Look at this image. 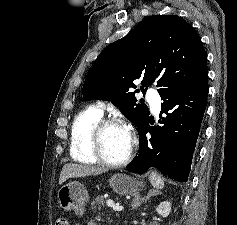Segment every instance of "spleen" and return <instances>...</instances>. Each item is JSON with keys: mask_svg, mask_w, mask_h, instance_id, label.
Instances as JSON below:
<instances>
[{"mask_svg": "<svg viewBox=\"0 0 237 225\" xmlns=\"http://www.w3.org/2000/svg\"><path fill=\"white\" fill-rule=\"evenodd\" d=\"M149 179H150L151 184H152L155 188L161 189V188L164 187V182H163L162 178H161L157 173L152 172V173L150 174Z\"/></svg>", "mask_w": 237, "mask_h": 225, "instance_id": "1", "label": "spleen"}]
</instances>
